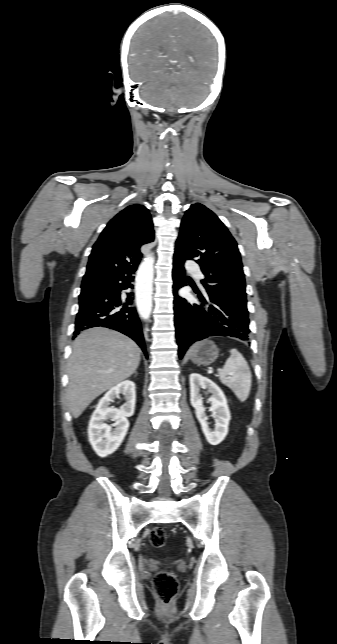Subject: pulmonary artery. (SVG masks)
Segmentation results:
<instances>
[{
    "mask_svg": "<svg viewBox=\"0 0 337 644\" xmlns=\"http://www.w3.org/2000/svg\"><path fill=\"white\" fill-rule=\"evenodd\" d=\"M186 268H187L190 272L194 273L198 278H202V274H201V272H200V270H199V267H198V266H197V264H195L194 262H192V261H188V262L186 263Z\"/></svg>",
    "mask_w": 337,
    "mask_h": 644,
    "instance_id": "1",
    "label": "pulmonary artery"
}]
</instances>
